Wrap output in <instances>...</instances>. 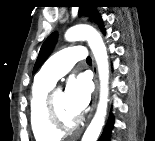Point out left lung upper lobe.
Here are the masks:
<instances>
[{
  "mask_svg": "<svg viewBox=\"0 0 155 141\" xmlns=\"http://www.w3.org/2000/svg\"><path fill=\"white\" fill-rule=\"evenodd\" d=\"M79 8H80L79 15H87L99 25L102 23V19H101L100 15L95 11V6H92L90 4H85ZM56 41H57V33L56 32L52 33L45 40V42L43 43V45L40 49L39 55L37 57L35 65H34L33 72L37 71V69L41 66V64L49 56Z\"/></svg>",
  "mask_w": 155,
  "mask_h": 141,
  "instance_id": "left-lung-upper-lobe-1",
  "label": "left lung upper lobe"
}]
</instances>
